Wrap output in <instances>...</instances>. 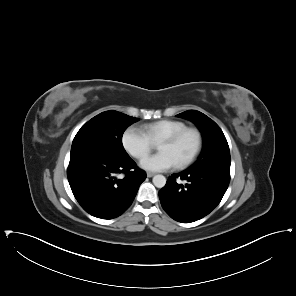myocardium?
I'll list each match as a JSON object with an SVG mask.
<instances>
[{
  "label": "myocardium",
  "instance_id": "obj_1",
  "mask_svg": "<svg viewBox=\"0 0 296 296\" xmlns=\"http://www.w3.org/2000/svg\"><path fill=\"white\" fill-rule=\"evenodd\" d=\"M189 136H192L194 138V146L188 155H186L181 159L176 160V163L179 166L186 165L192 162L197 157V155L201 151L202 144H203V138L201 133L195 128H188L183 132H180L174 135L172 138H170L168 141H166L162 145V150L167 151L169 149H172L178 146L182 141H184Z\"/></svg>",
  "mask_w": 296,
  "mask_h": 296
}]
</instances>
